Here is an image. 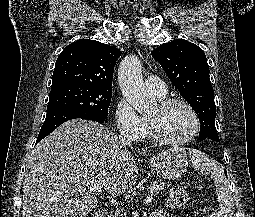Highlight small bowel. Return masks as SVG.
<instances>
[{
	"label": "small bowel",
	"mask_w": 255,
	"mask_h": 217,
	"mask_svg": "<svg viewBox=\"0 0 255 217\" xmlns=\"http://www.w3.org/2000/svg\"><path fill=\"white\" fill-rule=\"evenodd\" d=\"M151 217H166L161 210H156L152 213Z\"/></svg>",
	"instance_id": "1"
}]
</instances>
